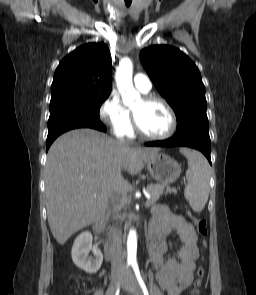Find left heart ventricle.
Masks as SVG:
<instances>
[{
	"mask_svg": "<svg viewBox=\"0 0 256 295\" xmlns=\"http://www.w3.org/2000/svg\"><path fill=\"white\" fill-rule=\"evenodd\" d=\"M140 128L150 135H162L170 127V117L159 103H146L141 99L132 108Z\"/></svg>",
	"mask_w": 256,
	"mask_h": 295,
	"instance_id": "obj_1",
	"label": "left heart ventricle"
}]
</instances>
